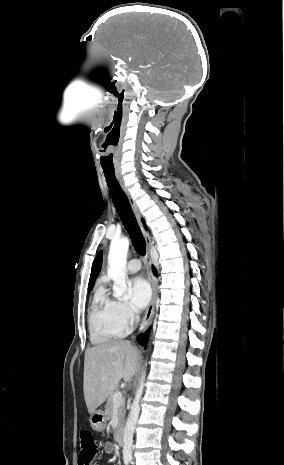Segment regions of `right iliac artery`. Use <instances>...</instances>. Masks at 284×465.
Here are the masks:
<instances>
[{
	"label": "right iliac artery",
	"mask_w": 284,
	"mask_h": 465,
	"mask_svg": "<svg viewBox=\"0 0 284 465\" xmlns=\"http://www.w3.org/2000/svg\"><path fill=\"white\" fill-rule=\"evenodd\" d=\"M129 462H130V460H128V459H127V460H125V462H124V463H125V465H128V464H129Z\"/></svg>",
	"instance_id": "82829eb1"
}]
</instances>
